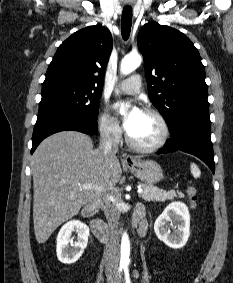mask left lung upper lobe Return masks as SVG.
Instances as JSON below:
<instances>
[{
  "label": "left lung upper lobe",
  "instance_id": "1",
  "mask_svg": "<svg viewBox=\"0 0 233 283\" xmlns=\"http://www.w3.org/2000/svg\"><path fill=\"white\" fill-rule=\"evenodd\" d=\"M144 57L149 98L168 126L192 114H209L205 69L198 50L182 32L156 22L137 39Z\"/></svg>",
  "mask_w": 233,
  "mask_h": 283
}]
</instances>
